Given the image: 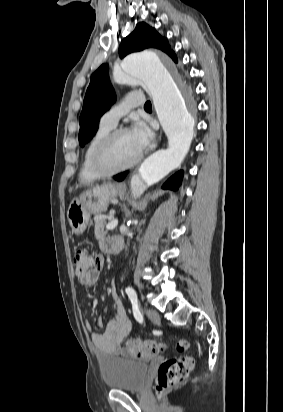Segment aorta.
Returning a JSON list of instances; mask_svg holds the SVG:
<instances>
[{
  "label": "aorta",
  "instance_id": "aorta-1",
  "mask_svg": "<svg viewBox=\"0 0 283 412\" xmlns=\"http://www.w3.org/2000/svg\"><path fill=\"white\" fill-rule=\"evenodd\" d=\"M120 67L114 81L145 85L168 138V147L150 155L138 170V177L150 186L179 167L190 148L194 120L187 108V92L175 81L170 62L157 51L129 55Z\"/></svg>",
  "mask_w": 283,
  "mask_h": 412
}]
</instances>
